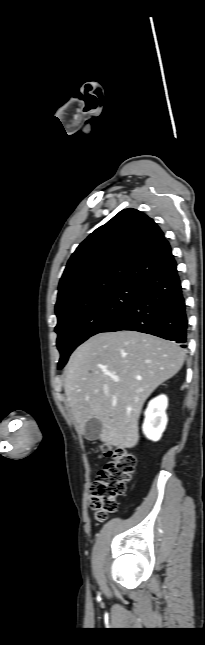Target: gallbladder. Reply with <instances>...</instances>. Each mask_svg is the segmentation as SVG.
Segmentation results:
<instances>
[{"instance_id":"gallbladder-1","label":"gallbladder","mask_w":205,"mask_h":645,"mask_svg":"<svg viewBox=\"0 0 205 645\" xmlns=\"http://www.w3.org/2000/svg\"><path fill=\"white\" fill-rule=\"evenodd\" d=\"M101 431L102 423L98 419L92 418L85 425L84 437L90 441L96 440L99 437Z\"/></svg>"}]
</instances>
